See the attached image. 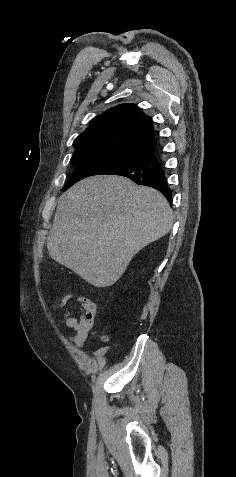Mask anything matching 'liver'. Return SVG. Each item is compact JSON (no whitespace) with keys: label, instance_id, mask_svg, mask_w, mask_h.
I'll return each mask as SVG.
<instances>
[{"label":"liver","instance_id":"1","mask_svg":"<svg viewBox=\"0 0 236 477\" xmlns=\"http://www.w3.org/2000/svg\"><path fill=\"white\" fill-rule=\"evenodd\" d=\"M172 225V210L157 190L122 176H94L60 197L47 249L56 262L104 288Z\"/></svg>","mask_w":236,"mask_h":477}]
</instances>
